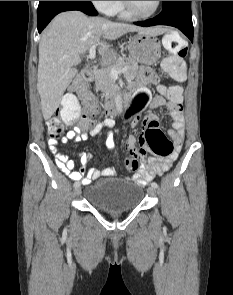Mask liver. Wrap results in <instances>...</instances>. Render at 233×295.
I'll return each instance as SVG.
<instances>
[{"label": "liver", "instance_id": "liver-1", "mask_svg": "<svg viewBox=\"0 0 233 295\" xmlns=\"http://www.w3.org/2000/svg\"><path fill=\"white\" fill-rule=\"evenodd\" d=\"M128 32L159 35L165 29L87 17L80 11L62 12L51 21L39 42L37 73V90L45 120L59 107L66 88L78 73L76 66L81 63V56L95 45L104 60H114L116 54L105 40H116Z\"/></svg>", "mask_w": 233, "mask_h": 295}]
</instances>
